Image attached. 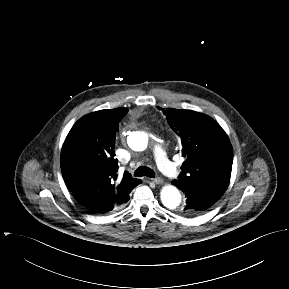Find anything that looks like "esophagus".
Masks as SVG:
<instances>
[{"label":"esophagus","instance_id":"34e87169","mask_svg":"<svg viewBox=\"0 0 289 289\" xmlns=\"http://www.w3.org/2000/svg\"><path fill=\"white\" fill-rule=\"evenodd\" d=\"M151 181L155 184H162L163 180L160 177L152 178Z\"/></svg>","mask_w":289,"mask_h":289}]
</instances>
